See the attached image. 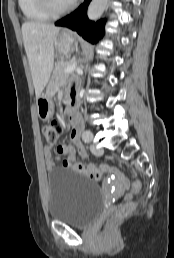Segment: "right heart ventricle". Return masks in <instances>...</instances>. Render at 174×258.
<instances>
[{
	"instance_id": "obj_1",
	"label": "right heart ventricle",
	"mask_w": 174,
	"mask_h": 258,
	"mask_svg": "<svg viewBox=\"0 0 174 258\" xmlns=\"http://www.w3.org/2000/svg\"><path fill=\"white\" fill-rule=\"evenodd\" d=\"M18 3L23 15L29 21L44 22L51 17L41 7L39 0H18Z\"/></svg>"
}]
</instances>
